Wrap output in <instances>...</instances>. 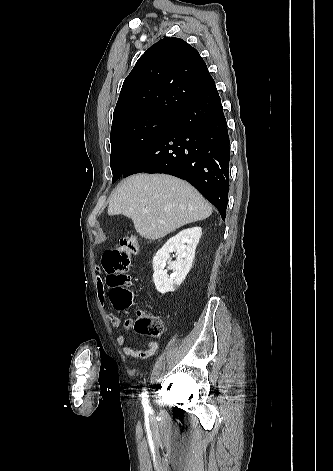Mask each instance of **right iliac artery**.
<instances>
[{"mask_svg": "<svg viewBox=\"0 0 333 471\" xmlns=\"http://www.w3.org/2000/svg\"><path fill=\"white\" fill-rule=\"evenodd\" d=\"M142 405H143L144 411L146 413L151 412V408H150L149 402H148V394H147V388L146 387L143 388V392H142Z\"/></svg>", "mask_w": 333, "mask_h": 471, "instance_id": "obj_1", "label": "right iliac artery"}]
</instances>
